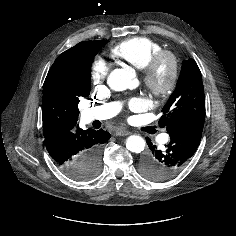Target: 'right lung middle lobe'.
<instances>
[{
    "mask_svg": "<svg viewBox=\"0 0 236 236\" xmlns=\"http://www.w3.org/2000/svg\"><path fill=\"white\" fill-rule=\"evenodd\" d=\"M104 44L93 49L86 57L84 64L78 69L75 80V91L79 97H87L90 94V66L93 58L97 54L98 50L103 47ZM100 170V153L90 154L87 160L82 164L80 174L76 177V174H71V177L79 180H89L95 177Z\"/></svg>",
    "mask_w": 236,
    "mask_h": 236,
    "instance_id": "right-lung-middle-lobe-1",
    "label": "right lung middle lobe"
}]
</instances>
